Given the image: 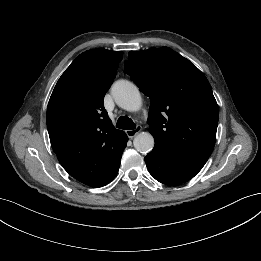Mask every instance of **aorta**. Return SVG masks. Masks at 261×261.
<instances>
[{
	"instance_id": "1",
	"label": "aorta",
	"mask_w": 261,
	"mask_h": 261,
	"mask_svg": "<svg viewBox=\"0 0 261 261\" xmlns=\"http://www.w3.org/2000/svg\"><path fill=\"white\" fill-rule=\"evenodd\" d=\"M116 104L130 112L138 111L142 106V98L135 84L127 80L115 82L111 89ZM134 147L140 153H148L154 147V138L148 132H141L134 138Z\"/></svg>"
}]
</instances>
